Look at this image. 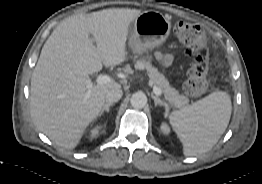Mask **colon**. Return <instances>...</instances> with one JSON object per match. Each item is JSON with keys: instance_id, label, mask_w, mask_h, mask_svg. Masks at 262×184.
<instances>
[{"instance_id": "colon-1", "label": "colon", "mask_w": 262, "mask_h": 184, "mask_svg": "<svg viewBox=\"0 0 262 184\" xmlns=\"http://www.w3.org/2000/svg\"><path fill=\"white\" fill-rule=\"evenodd\" d=\"M175 35L185 47L186 52L193 57L184 83V90L192 97L204 94L208 88L207 79V37L204 29L186 21L175 25Z\"/></svg>"}]
</instances>
